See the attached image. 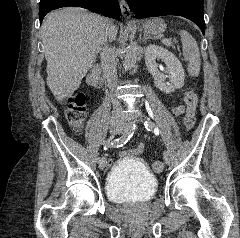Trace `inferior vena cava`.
I'll list each match as a JSON object with an SVG mask.
<instances>
[{
    "mask_svg": "<svg viewBox=\"0 0 240 238\" xmlns=\"http://www.w3.org/2000/svg\"><path fill=\"white\" fill-rule=\"evenodd\" d=\"M97 24L101 28L100 36V58H101V67L103 70V75L107 80L108 86L111 91H113L117 85V66H116V55L114 50L108 45V27L111 22L108 19L102 17L97 19ZM113 102V113L116 119L124 120L122 105L115 97L112 98Z\"/></svg>",
    "mask_w": 240,
    "mask_h": 238,
    "instance_id": "inferior-vena-cava-1",
    "label": "inferior vena cava"
}]
</instances>
